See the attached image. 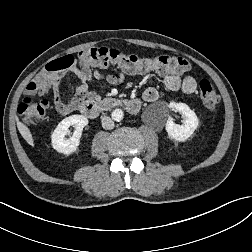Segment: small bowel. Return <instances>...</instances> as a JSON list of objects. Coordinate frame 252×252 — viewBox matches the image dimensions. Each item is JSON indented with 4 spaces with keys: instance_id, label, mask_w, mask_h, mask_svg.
Masks as SVG:
<instances>
[{
    "instance_id": "1",
    "label": "small bowel",
    "mask_w": 252,
    "mask_h": 252,
    "mask_svg": "<svg viewBox=\"0 0 252 252\" xmlns=\"http://www.w3.org/2000/svg\"><path fill=\"white\" fill-rule=\"evenodd\" d=\"M67 72L73 73L80 80V83L75 85L74 95L67 101L62 98L59 91V80L65 72L53 83L55 107L61 115H66L77 110L79 106L85 102V100L94 101L100 97L97 90H92L89 87L93 79L102 81L103 87L106 85H119L124 79V75L122 73L119 75H102L99 71L93 70L88 66L78 67L77 65H73L67 70ZM162 75L164 76V86L169 91L181 90L185 94H193L196 91L197 83L192 76L180 77L171 73H163ZM143 98L147 102H154L159 98V93L155 88L150 87L144 91Z\"/></svg>"
}]
</instances>
